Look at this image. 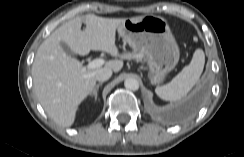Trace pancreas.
Instances as JSON below:
<instances>
[{"instance_id":"1","label":"pancreas","mask_w":244,"mask_h":157,"mask_svg":"<svg viewBox=\"0 0 244 157\" xmlns=\"http://www.w3.org/2000/svg\"><path fill=\"white\" fill-rule=\"evenodd\" d=\"M123 57L125 59H128V60H130V59L141 60L143 58V54L142 53H135V52L134 53H125L123 55Z\"/></svg>"}]
</instances>
